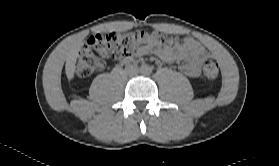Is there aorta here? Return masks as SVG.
I'll list each match as a JSON object with an SVG mask.
<instances>
[{"instance_id":"762f6f07","label":"aorta","mask_w":279,"mask_h":166,"mask_svg":"<svg viewBox=\"0 0 279 166\" xmlns=\"http://www.w3.org/2000/svg\"><path fill=\"white\" fill-rule=\"evenodd\" d=\"M145 73H147L148 72V69H145V71H144Z\"/></svg>"}]
</instances>
